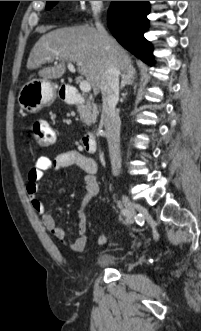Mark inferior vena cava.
I'll return each mask as SVG.
<instances>
[{
	"mask_svg": "<svg viewBox=\"0 0 201 331\" xmlns=\"http://www.w3.org/2000/svg\"><path fill=\"white\" fill-rule=\"evenodd\" d=\"M97 30L103 33L104 27L96 22ZM102 93V120L105 124L106 137L109 148L112 172L119 174L121 170L120 153V126L121 121L116 111L119 100V69L115 64H109L106 70V79L101 86Z\"/></svg>",
	"mask_w": 201,
	"mask_h": 331,
	"instance_id": "602c4592",
	"label": "inferior vena cava"
}]
</instances>
